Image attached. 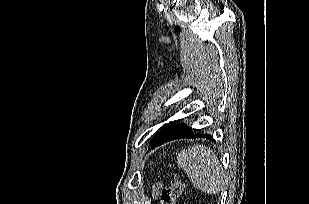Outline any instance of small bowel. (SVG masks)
Here are the masks:
<instances>
[{
    "label": "small bowel",
    "instance_id": "obj_1",
    "mask_svg": "<svg viewBox=\"0 0 309 204\" xmlns=\"http://www.w3.org/2000/svg\"><path fill=\"white\" fill-rule=\"evenodd\" d=\"M163 184L161 182H158L154 185L152 195L155 199H158L160 190L162 189Z\"/></svg>",
    "mask_w": 309,
    "mask_h": 204
}]
</instances>
